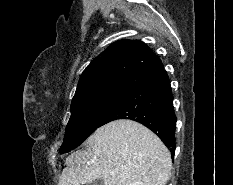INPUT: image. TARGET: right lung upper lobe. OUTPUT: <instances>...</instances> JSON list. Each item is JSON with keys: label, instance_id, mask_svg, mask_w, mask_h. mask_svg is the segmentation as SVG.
I'll use <instances>...</instances> for the list:
<instances>
[{"label": "right lung upper lobe", "instance_id": "cb5924a9", "mask_svg": "<svg viewBox=\"0 0 233 185\" xmlns=\"http://www.w3.org/2000/svg\"><path fill=\"white\" fill-rule=\"evenodd\" d=\"M163 70L161 60L143 42L118 41L87 66L74 97L110 87L132 90Z\"/></svg>", "mask_w": 233, "mask_h": 185}]
</instances>
